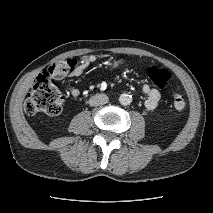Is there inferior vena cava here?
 <instances>
[{
    "label": "inferior vena cava",
    "instance_id": "602c4592",
    "mask_svg": "<svg viewBox=\"0 0 213 213\" xmlns=\"http://www.w3.org/2000/svg\"><path fill=\"white\" fill-rule=\"evenodd\" d=\"M109 98L106 94H96L89 99L90 106L104 105L108 102Z\"/></svg>",
    "mask_w": 213,
    "mask_h": 213
}]
</instances>
